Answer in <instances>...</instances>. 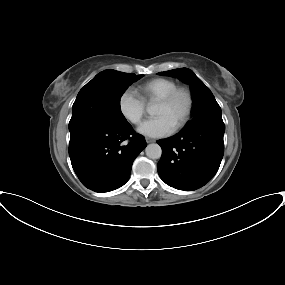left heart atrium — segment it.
<instances>
[{
	"label": "left heart atrium",
	"mask_w": 285,
	"mask_h": 285,
	"mask_svg": "<svg viewBox=\"0 0 285 285\" xmlns=\"http://www.w3.org/2000/svg\"><path fill=\"white\" fill-rule=\"evenodd\" d=\"M174 131L172 124L163 116L144 121L138 128L142 135L158 138L170 135Z\"/></svg>",
	"instance_id": "1"
}]
</instances>
